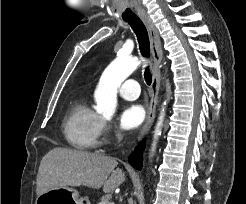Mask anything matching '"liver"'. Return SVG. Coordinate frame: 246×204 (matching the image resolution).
I'll return each instance as SVG.
<instances>
[{"label": "liver", "instance_id": "liver-1", "mask_svg": "<svg viewBox=\"0 0 246 204\" xmlns=\"http://www.w3.org/2000/svg\"><path fill=\"white\" fill-rule=\"evenodd\" d=\"M113 157L81 150L57 147L41 160L36 193L41 195L51 189L86 186L103 187L110 193L125 181V173L117 168Z\"/></svg>", "mask_w": 246, "mask_h": 204}]
</instances>
